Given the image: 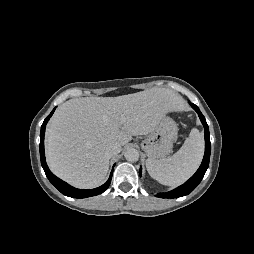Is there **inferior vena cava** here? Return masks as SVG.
Instances as JSON below:
<instances>
[{"instance_id":"obj_1","label":"inferior vena cava","mask_w":254,"mask_h":254,"mask_svg":"<svg viewBox=\"0 0 254 254\" xmlns=\"http://www.w3.org/2000/svg\"><path fill=\"white\" fill-rule=\"evenodd\" d=\"M120 151H121V145L118 143H113L107 147L106 153L109 157H112L120 153Z\"/></svg>"}]
</instances>
